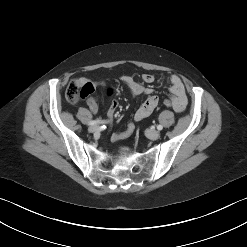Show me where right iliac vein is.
<instances>
[{"label":"right iliac vein","instance_id":"1","mask_svg":"<svg viewBox=\"0 0 247 247\" xmlns=\"http://www.w3.org/2000/svg\"><path fill=\"white\" fill-rule=\"evenodd\" d=\"M88 130L91 133H95V132H98L100 130V127L97 125H93V126H90Z\"/></svg>","mask_w":247,"mask_h":247}]
</instances>
